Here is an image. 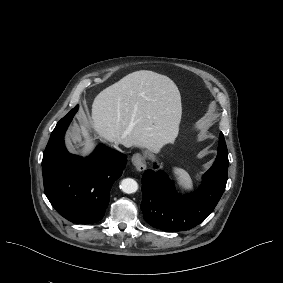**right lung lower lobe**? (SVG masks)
<instances>
[{
	"label": "right lung lower lobe",
	"mask_w": 283,
	"mask_h": 283,
	"mask_svg": "<svg viewBox=\"0 0 283 283\" xmlns=\"http://www.w3.org/2000/svg\"><path fill=\"white\" fill-rule=\"evenodd\" d=\"M78 105L52 131L43 154L44 191L52 206L67 220L90 224L101 220L114 181L122 175L127 156L99 145L86 158L70 154L64 134Z\"/></svg>",
	"instance_id": "right-lung-lower-lobe-1"
}]
</instances>
